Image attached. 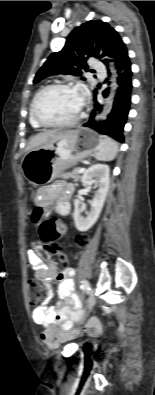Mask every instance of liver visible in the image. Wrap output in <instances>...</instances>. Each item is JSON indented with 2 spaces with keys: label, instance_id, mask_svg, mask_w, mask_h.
I'll list each match as a JSON object with an SVG mask.
<instances>
[{
  "label": "liver",
  "instance_id": "obj_1",
  "mask_svg": "<svg viewBox=\"0 0 155 395\" xmlns=\"http://www.w3.org/2000/svg\"><path fill=\"white\" fill-rule=\"evenodd\" d=\"M59 132L56 130L45 131L33 136L26 148L27 151L36 149L44 144H48Z\"/></svg>",
  "mask_w": 155,
  "mask_h": 395
}]
</instances>
